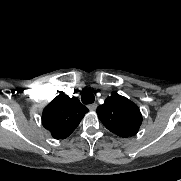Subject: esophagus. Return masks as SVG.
<instances>
[{"label": "esophagus", "instance_id": "obj_1", "mask_svg": "<svg viewBox=\"0 0 181 181\" xmlns=\"http://www.w3.org/2000/svg\"><path fill=\"white\" fill-rule=\"evenodd\" d=\"M88 108H89V110H91V111H95L96 108H97V104H96V103L89 104V105H88Z\"/></svg>", "mask_w": 181, "mask_h": 181}]
</instances>
